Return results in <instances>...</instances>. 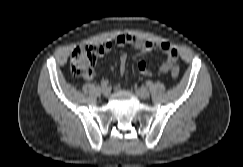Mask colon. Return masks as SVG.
<instances>
[{
    "label": "colon",
    "instance_id": "colon-1",
    "mask_svg": "<svg viewBox=\"0 0 243 167\" xmlns=\"http://www.w3.org/2000/svg\"><path fill=\"white\" fill-rule=\"evenodd\" d=\"M96 63V50L94 46H79L72 52L70 58L71 71L75 76L87 77L93 72ZM180 69L174 66L171 70L172 77L179 76Z\"/></svg>",
    "mask_w": 243,
    "mask_h": 167
}]
</instances>
